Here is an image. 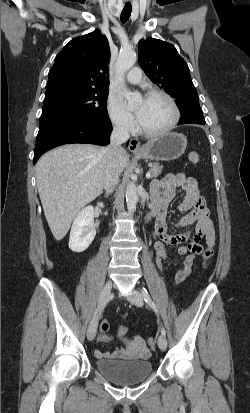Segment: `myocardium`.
Returning a JSON list of instances; mask_svg holds the SVG:
<instances>
[{"mask_svg":"<svg viewBox=\"0 0 250 413\" xmlns=\"http://www.w3.org/2000/svg\"><path fill=\"white\" fill-rule=\"evenodd\" d=\"M150 97H161V98L165 99L170 104V106L172 107L173 119L167 127H165L164 129L158 130V131H150V130L145 129L139 121L138 122V130L141 134H143L147 137H151V138L161 137V136H164V135L170 133L177 126V124L180 120V116H181L180 109H179L176 101L174 100V98L165 91L157 90V89L150 90L147 93V98H150Z\"/></svg>","mask_w":250,"mask_h":413,"instance_id":"obj_1","label":"myocardium"}]
</instances>
